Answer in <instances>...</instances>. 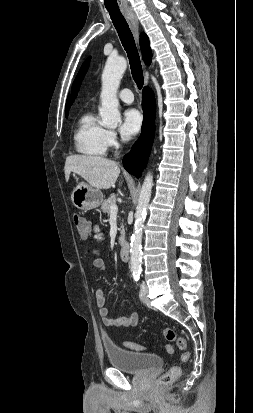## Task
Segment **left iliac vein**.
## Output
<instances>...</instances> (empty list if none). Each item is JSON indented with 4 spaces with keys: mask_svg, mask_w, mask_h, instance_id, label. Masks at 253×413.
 Here are the masks:
<instances>
[{
    "mask_svg": "<svg viewBox=\"0 0 253 413\" xmlns=\"http://www.w3.org/2000/svg\"><path fill=\"white\" fill-rule=\"evenodd\" d=\"M140 300L144 303L147 302V287L145 283L141 284L140 293H139Z\"/></svg>",
    "mask_w": 253,
    "mask_h": 413,
    "instance_id": "4c4485c4",
    "label": "left iliac vein"
}]
</instances>
